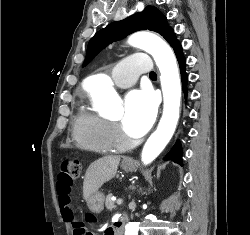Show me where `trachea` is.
Segmentation results:
<instances>
[{
    "instance_id": "trachea-1",
    "label": "trachea",
    "mask_w": 250,
    "mask_h": 235,
    "mask_svg": "<svg viewBox=\"0 0 250 235\" xmlns=\"http://www.w3.org/2000/svg\"><path fill=\"white\" fill-rule=\"evenodd\" d=\"M149 76H150V77H156L157 74H156L154 71H152V72H150Z\"/></svg>"
}]
</instances>
